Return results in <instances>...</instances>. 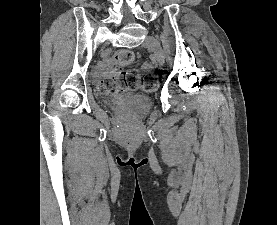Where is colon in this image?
Segmentation results:
<instances>
[{"mask_svg":"<svg viewBox=\"0 0 277 225\" xmlns=\"http://www.w3.org/2000/svg\"><path fill=\"white\" fill-rule=\"evenodd\" d=\"M135 60L131 50H118L111 57V64L116 70L105 77L99 84V91L105 95H115L123 91H133L141 88L144 91H154L158 86L157 73L153 69L143 72L123 70Z\"/></svg>","mask_w":277,"mask_h":225,"instance_id":"5ec220e1","label":"colon"}]
</instances>
